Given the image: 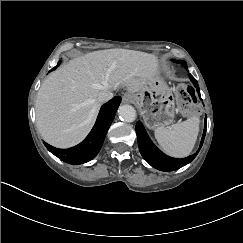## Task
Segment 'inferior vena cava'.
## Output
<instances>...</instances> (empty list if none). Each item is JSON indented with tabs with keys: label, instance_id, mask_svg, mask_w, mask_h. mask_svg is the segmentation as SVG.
I'll list each match as a JSON object with an SVG mask.
<instances>
[{
	"label": "inferior vena cava",
	"instance_id": "inferior-vena-cava-1",
	"mask_svg": "<svg viewBox=\"0 0 243 243\" xmlns=\"http://www.w3.org/2000/svg\"><path fill=\"white\" fill-rule=\"evenodd\" d=\"M113 97V93L109 90H102L98 94V101L99 102H107Z\"/></svg>",
	"mask_w": 243,
	"mask_h": 243
}]
</instances>
